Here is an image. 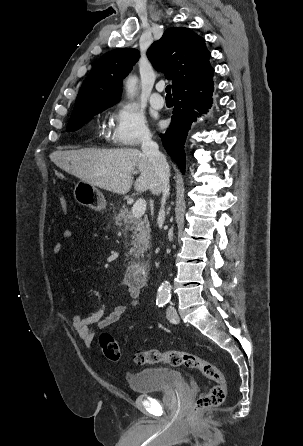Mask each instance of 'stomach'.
<instances>
[{
    "label": "stomach",
    "mask_w": 303,
    "mask_h": 446,
    "mask_svg": "<svg viewBox=\"0 0 303 446\" xmlns=\"http://www.w3.org/2000/svg\"><path fill=\"white\" fill-rule=\"evenodd\" d=\"M75 200L95 211H102L106 208L107 202L100 190L84 181H78L74 189Z\"/></svg>",
    "instance_id": "stomach-1"
}]
</instances>
